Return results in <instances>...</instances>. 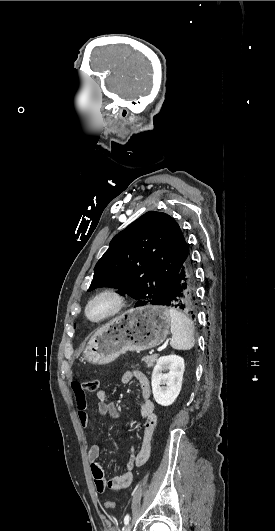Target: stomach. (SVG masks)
<instances>
[{"instance_id":"1","label":"stomach","mask_w":275,"mask_h":531,"mask_svg":"<svg viewBox=\"0 0 275 531\" xmlns=\"http://www.w3.org/2000/svg\"><path fill=\"white\" fill-rule=\"evenodd\" d=\"M171 325L162 301H142L92 335L83 357L91 365H106L125 351H147L165 341Z\"/></svg>"}]
</instances>
